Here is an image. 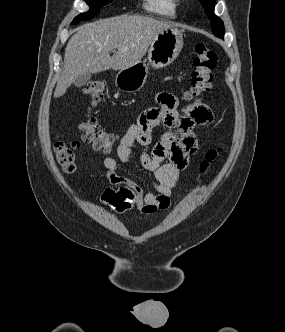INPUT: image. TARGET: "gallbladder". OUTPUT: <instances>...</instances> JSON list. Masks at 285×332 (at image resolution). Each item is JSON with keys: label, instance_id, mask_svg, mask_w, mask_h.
Wrapping results in <instances>:
<instances>
[{"label": "gallbladder", "instance_id": "1", "mask_svg": "<svg viewBox=\"0 0 285 332\" xmlns=\"http://www.w3.org/2000/svg\"><path fill=\"white\" fill-rule=\"evenodd\" d=\"M91 79V74L87 73V74H83L80 75L79 77H77V79L74 81V85L76 87H82L84 85H86V83Z\"/></svg>", "mask_w": 285, "mask_h": 332}]
</instances>
